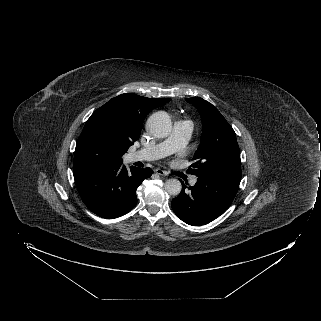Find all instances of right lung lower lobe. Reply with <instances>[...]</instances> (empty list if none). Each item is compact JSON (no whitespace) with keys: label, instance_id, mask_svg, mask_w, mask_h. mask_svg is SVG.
Masks as SVG:
<instances>
[{"label":"right lung lower lobe","instance_id":"right-lung-lower-lobe-1","mask_svg":"<svg viewBox=\"0 0 321 321\" xmlns=\"http://www.w3.org/2000/svg\"><path fill=\"white\" fill-rule=\"evenodd\" d=\"M73 174L86 206L100 217L113 219L135 207L136 189L152 170L133 166L127 170L121 163Z\"/></svg>","mask_w":321,"mask_h":321}]
</instances>
